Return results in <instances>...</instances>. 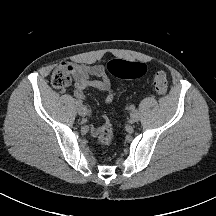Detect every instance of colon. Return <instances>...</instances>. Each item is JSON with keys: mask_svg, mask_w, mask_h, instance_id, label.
<instances>
[{"mask_svg": "<svg viewBox=\"0 0 216 216\" xmlns=\"http://www.w3.org/2000/svg\"><path fill=\"white\" fill-rule=\"evenodd\" d=\"M108 72L112 77L121 79L139 78L144 75L146 66L140 62H128L121 59H113L108 63ZM51 83L57 88H65L70 84V70L67 65H60L51 74ZM155 91L159 95H165L168 89V81L164 72H157L153 79ZM96 139L99 144L109 146L115 139V132L110 120L104 117L101 126L97 129Z\"/></svg>", "mask_w": 216, "mask_h": 216, "instance_id": "1", "label": "colon"}]
</instances>
